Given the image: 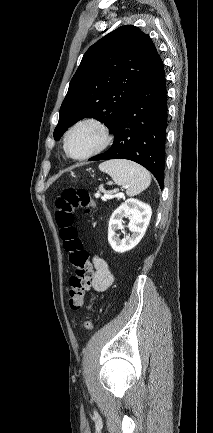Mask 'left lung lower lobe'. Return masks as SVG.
Masks as SVG:
<instances>
[{"mask_svg": "<svg viewBox=\"0 0 213 433\" xmlns=\"http://www.w3.org/2000/svg\"><path fill=\"white\" fill-rule=\"evenodd\" d=\"M163 62L158 55L151 70L121 113L113 145L90 161L128 159L148 169L164 186L167 96Z\"/></svg>", "mask_w": 213, "mask_h": 433, "instance_id": "left-lung-lower-lobe-1", "label": "left lung lower lobe"}]
</instances>
